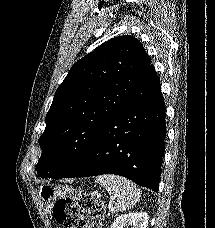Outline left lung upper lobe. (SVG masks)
<instances>
[{
    "instance_id": "obj_1",
    "label": "left lung upper lobe",
    "mask_w": 215,
    "mask_h": 228,
    "mask_svg": "<svg viewBox=\"0 0 215 228\" xmlns=\"http://www.w3.org/2000/svg\"><path fill=\"white\" fill-rule=\"evenodd\" d=\"M143 46L119 36L78 60L58 87L39 138L38 176L57 178L91 147L150 69Z\"/></svg>"
}]
</instances>
